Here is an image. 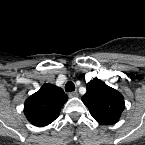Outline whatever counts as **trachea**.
Here are the masks:
<instances>
[{
	"label": "trachea",
	"mask_w": 145,
	"mask_h": 145,
	"mask_svg": "<svg viewBox=\"0 0 145 145\" xmlns=\"http://www.w3.org/2000/svg\"><path fill=\"white\" fill-rule=\"evenodd\" d=\"M74 90H75V85H74V83L71 82V81H68V82L66 83V85H65V91H66V92H72V91H74Z\"/></svg>",
	"instance_id": "3493384b"
}]
</instances>
